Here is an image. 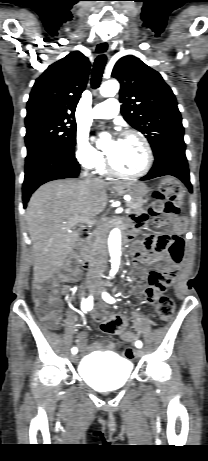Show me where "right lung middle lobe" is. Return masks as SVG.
Listing matches in <instances>:
<instances>
[{"mask_svg": "<svg viewBox=\"0 0 208 461\" xmlns=\"http://www.w3.org/2000/svg\"><path fill=\"white\" fill-rule=\"evenodd\" d=\"M26 159L46 149H56L74 156L77 126L67 117L26 116Z\"/></svg>", "mask_w": 208, "mask_h": 461, "instance_id": "dd1d6c3e", "label": "right lung middle lobe"}]
</instances>
